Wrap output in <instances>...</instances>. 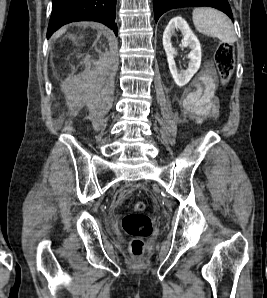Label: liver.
<instances>
[{"label":"liver","instance_id":"liver-1","mask_svg":"<svg viewBox=\"0 0 267 298\" xmlns=\"http://www.w3.org/2000/svg\"><path fill=\"white\" fill-rule=\"evenodd\" d=\"M65 32V29H62L60 31H58V33L56 34L55 37H59L60 35H62Z\"/></svg>","mask_w":267,"mask_h":298}]
</instances>
